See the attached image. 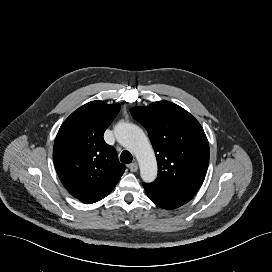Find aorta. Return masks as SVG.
<instances>
[{
  "mask_svg": "<svg viewBox=\"0 0 272 272\" xmlns=\"http://www.w3.org/2000/svg\"><path fill=\"white\" fill-rule=\"evenodd\" d=\"M115 135L121 145L135 154L142 180L153 182L157 177V161L143 130L135 124L122 122L116 127Z\"/></svg>",
  "mask_w": 272,
  "mask_h": 272,
  "instance_id": "762f6f07",
  "label": "aorta"
}]
</instances>
